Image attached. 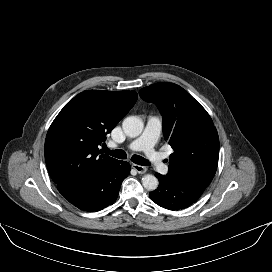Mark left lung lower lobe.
<instances>
[{
	"label": "left lung lower lobe",
	"instance_id": "left-lung-lower-lobe-1",
	"mask_svg": "<svg viewBox=\"0 0 272 272\" xmlns=\"http://www.w3.org/2000/svg\"><path fill=\"white\" fill-rule=\"evenodd\" d=\"M159 180L158 188L149 193L151 200L168 210L185 209L196 202L206 186L191 180L167 174L156 173Z\"/></svg>",
	"mask_w": 272,
	"mask_h": 272
}]
</instances>
